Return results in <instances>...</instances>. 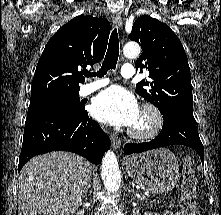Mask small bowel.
Returning <instances> with one entry per match:
<instances>
[{
  "label": "small bowel",
  "mask_w": 221,
  "mask_h": 215,
  "mask_svg": "<svg viewBox=\"0 0 221 215\" xmlns=\"http://www.w3.org/2000/svg\"><path fill=\"white\" fill-rule=\"evenodd\" d=\"M145 215H160V214H157V213H153V212H149V213H146ZM161 215H182L179 211H164L162 212Z\"/></svg>",
  "instance_id": "c3829d8e"
}]
</instances>
